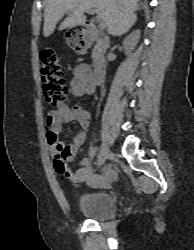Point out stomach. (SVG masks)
<instances>
[{
	"mask_svg": "<svg viewBox=\"0 0 194 250\" xmlns=\"http://www.w3.org/2000/svg\"><path fill=\"white\" fill-rule=\"evenodd\" d=\"M87 34L86 33H84V37L86 36Z\"/></svg>",
	"mask_w": 194,
	"mask_h": 250,
	"instance_id": "obj_1",
	"label": "stomach"
}]
</instances>
